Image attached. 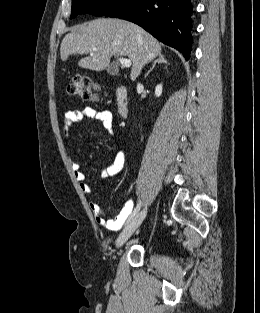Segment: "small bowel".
Listing matches in <instances>:
<instances>
[{
    "label": "small bowel",
    "mask_w": 260,
    "mask_h": 313,
    "mask_svg": "<svg viewBox=\"0 0 260 313\" xmlns=\"http://www.w3.org/2000/svg\"><path fill=\"white\" fill-rule=\"evenodd\" d=\"M83 118H88L92 121L100 123L104 130H106L110 135H114V117L110 111L99 110L93 107H85L81 110H69L65 113L61 124L64 138L67 139L69 137L73 125ZM125 161V153L123 151H119L115 156L113 163L105 170V176L111 177L117 175L124 168ZM70 167L80 190L89 197L88 204L90 210L99 224L108 230H115L118 229L126 220L130 219L132 215L131 212L134 207L132 199L124 198V203L118 216L114 219H107L104 210L91 197V188L85 181V174L81 170L80 164L75 160H71Z\"/></svg>",
    "instance_id": "small-bowel-1"
}]
</instances>
